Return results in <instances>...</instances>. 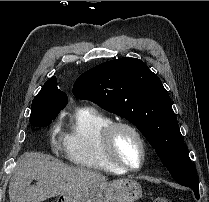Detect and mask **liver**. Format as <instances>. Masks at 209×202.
Listing matches in <instances>:
<instances>
[{"label":"liver","instance_id":"obj_1","mask_svg":"<svg viewBox=\"0 0 209 202\" xmlns=\"http://www.w3.org/2000/svg\"><path fill=\"white\" fill-rule=\"evenodd\" d=\"M36 180V185L31 182ZM107 178L96 171L70 167L40 153H24L9 183L10 202H42Z\"/></svg>","mask_w":209,"mask_h":202}]
</instances>
